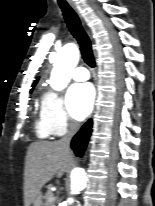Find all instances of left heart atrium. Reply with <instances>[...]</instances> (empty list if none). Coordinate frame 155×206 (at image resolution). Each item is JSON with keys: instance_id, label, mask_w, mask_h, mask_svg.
I'll return each mask as SVG.
<instances>
[{"instance_id": "obj_1", "label": "left heart atrium", "mask_w": 155, "mask_h": 206, "mask_svg": "<svg viewBox=\"0 0 155 206\" xmlns=\"http://www.w3.org/2000/svg\"><path fill=\"white\" fill-rule=\"evenodd\" d=\"M95 91L91 84L72 85L67 92V105L70 113L76 119H84L91 112Z\"/></svg>"}]
</instances>
